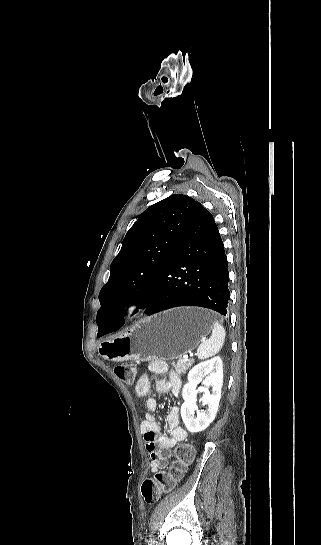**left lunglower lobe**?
I'll use <instances>...</instances> for the list:
<instances>
[{"mask_svg": "<svg viewBox=\"0 0 321 545\" xmlns=\"http://www.w3.org/2000/svg\"><path fill=\"white\" fill-rule=\"evenodd\" d=\"M224 244L213 216L199 203L180 236L153 295L147 315L179 306H199L227 315L230 293ZM124 310H114L102 336L121 328Z\"/></svg>", "mask_w": 321, "mask_h": 545, "instance_id": "0a47b994", "label": "left lung lower lobe"}]
</instances>
